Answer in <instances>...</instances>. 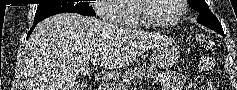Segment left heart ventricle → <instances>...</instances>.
I'll list each match as a JSON object with an SVG mask.
<instances>
[{"label": "left heart ventricle", "instance_id": "left-heart-ventricle-1", "mask_svg": "<svg viewBox=\"0 0 237 90\" xmlns=\"http://www.w3.org/2000/svg\"><path fill=\"white\" fill-rule=\"evenodd\" d=\"M175 3H177V0L141 1V12L152 21L171 22L178 12V7Z\"/></svg>", "mask_w": 237, "mask_h": 90}]
</instances>
